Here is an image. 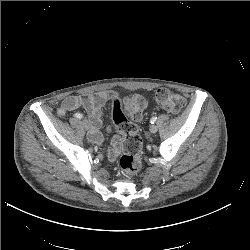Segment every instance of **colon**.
Wrapping results in <instances>:
<instances>
[{
  "label": "colon",
  "mask_w": 250,
  "mask_h": 250,
  "mask_svg": "<svg viewBox=\"0 0 250 250\" xmlns=\"http://www.w3.org/2000/svg\"><path fill=\"white\" fill-rule=\"evenodd\" d=\"M155 100L165 111L172 114L179 113L185 106V99L168 89L157 90ZM143 106L144 98L139 94L124 100L119 97L112 100V121L115 131L121 137L118 143L122 150L119 166L128 178L136 175L141 168L142 140L135 122L139 120Z\"/></svg>",
  "instance_id": "5ec220e1"
}]
</instances>
